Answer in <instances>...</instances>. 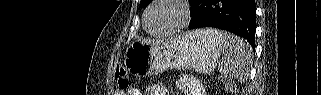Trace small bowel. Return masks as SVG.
I'll list each match as a JSON object with an SVG mask.
<instances>
[{"instance_id": "small-bowel-1", "label": "small bowel", "mask_w": 321, "mask_h": 95, "mask_svg": "<svg viewBox=\"0 0 321 95\" xmlns=\"http://www.w3.org/2000/svg\"><path fill=\"white\" fill-rule=\"evenodd\" d=\"M127 95H167L168 92L166 88L161 84H152L149 86V88L144 92L141 93L140 91L136 89H129L126 93ZM195 95H204V89L202 86H198L197 89L194 92Z\"/></svg>"}]
</instances>
